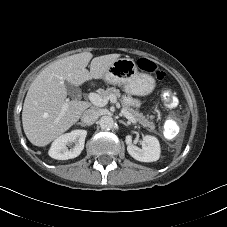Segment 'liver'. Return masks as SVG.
Segmentation results:
<instances>
[{"label": "liver", "mask_w": 227, "mask_h": 227, "mask_svg": "<svg viewBox=\"0 0 227 227\" xmlns=\"http://www.w3.org/2000/svg\"><path fill=\"white\" fill-rule=\"evenodd\" d=\"M92 57L90 52H82L52 62L31 83L23 105L22 124L33 145H48L90 107V103L85 101H70L65 83L77 87L91 79H102L120 54ZM91 59L88 71L86 67ZM64 105L67 107L62 113Z\"/></svg>", "instance_id": "obj_1"}]
</instances>
